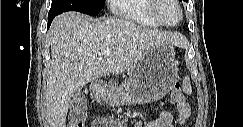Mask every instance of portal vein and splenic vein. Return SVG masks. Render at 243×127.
<instances>
[{"mask_svg":"<svg viewBox=\"0 0 243 127\" xmlns=\"http://www.w3.org/2000/svg\"><path fill=\"white\" fill-rule=\"evenodd\" d=\"M101 54L104 57H107V56H109L111 54V50L110 49L103 50Z\"/></svg>","mask_w":243,"mask_h":127,"instance_id":"obj_1","label":"portal vein and splenic vein"}]
</instances>
